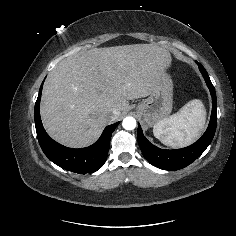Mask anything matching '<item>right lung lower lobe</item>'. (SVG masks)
<instances>
[{"instance_id": "98d812e1", "label": "right lung lower lobe", "mask_w": 236, "mask_h": 236, "mask_svg": "<svg viewBox=\"0 0 236 236\" xmlns=\"http://www.w3.org/2000/svg\"><path fill=\"white\" fill-rule=\"evenodd\" d=\"M42 86L43 83L35 103V127L44 154L56 165L74 173H93L100 169L108 156L111 134L119 122L107 126L99 140L89 147L81 149L65 147L51 139L43 128L39 113Z\"/></svg>"}]
</instances>
